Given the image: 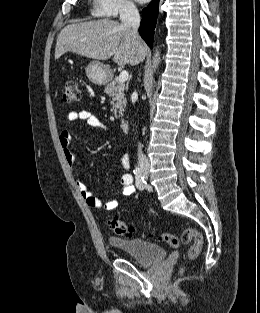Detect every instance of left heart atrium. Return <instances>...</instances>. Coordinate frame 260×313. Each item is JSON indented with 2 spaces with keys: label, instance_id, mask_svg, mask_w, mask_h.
Instances as JSON below:
<instances>
[{
  "label": "left heart atrium",
  "instance_id": "39dd6f15",
  "mask_svg": "<svg viewBox=\"0 0 260 313\" xmlns=\"http://www.w3.org/2000/svg\"><path fill=\"white\" fill-rule=\"evenodd\" d=\"M137 1L140 2V3H144V2H146L148 0H137Z\"/></svg>",
  "mask_w": 260,
  "mask_h": 313
}]
</instances>
